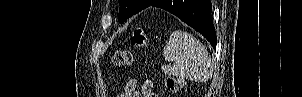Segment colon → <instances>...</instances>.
<instances>
[{
    "mask_svg": "<svg viewBox=\"0 0 302 97\" xmlns=\"http://www.w3.org/2000/svg\"><path fill=\"white\" fill-rule=\"evenodd\" d=\"M148 42V37L146 31L143 27H136L133 30L132 35V45L135 48H145ZM133 56L132 53L128 50H121L114 53L112 57V63L115 66H127L132 63ZM182 85V82L179 79L168 78L166 80V87L170 91L178 90ZM154 87V82L151 80H146L142 86V96L143 97H155L152 93V89Z\"/></svg>",
    "mask_w": 302,
    "mask_h": 97,
    "instance_id": "1",
    "label": "colon"
}]
</instances>
